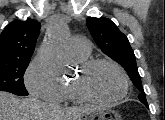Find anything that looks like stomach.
Returning <instances> with one entry per match:
<instances>
[{
    "label": "stomach",
    "mask_w": 165,
    "mask_h": 120,
    "mask_svg": "<svg viewBox=\"0 0 165 120\" xmlns=\"http://www.w3.org/2000/svg\"><path fill=\"white\" fill-rule=\"evenodd\" d=\"M121 120L120 115L112 109L90 110L81 120Z\"/></svg>",
    "instance_id": "0dacf381"
}]
</instances>
